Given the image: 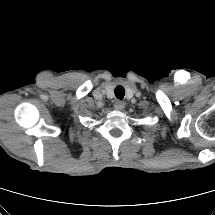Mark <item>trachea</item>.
Returning <instances> with one entry per match:
<instances>
[{
  "instance_id": "3493384b",
  "label": "trachea",
  "mask_w": 215,
  "mask_h": 215,
  "mask_svg": "<svg viewBox=\"0 0 215 215\" xmlns=\"http://www.w3.org/2000/svg\"><path fill=\"white\" fill-rule=\"evenodd\" d=\"M114 93H115V96L117 99L122 100L124 98V95H125V89L122 86H117L115 88Z\"/></svg>"
}]
</instances>
